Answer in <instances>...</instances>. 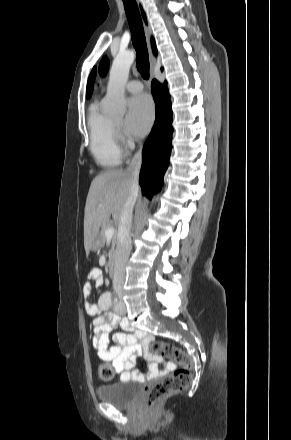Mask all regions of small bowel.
<instances>
[{"instance_id": "small-bowel-1", "label": "small bowel", "mask_w": 291, "mask_h": 440, "mask_svg": "<svg viewBox=\"0 0 291 440\" xmlns=\"http://www.w3.org/2000/svg\"><path fill=\"white\" fill-rule=\"evenodd\" d=\"M92 279L101 284V272L95 270L92 273ZM93 290L91 283H86L83 287L84 307L88 314L94 316L92 328L94 336L92 339L93 347L100 360L109 363L114 372L120 374L122 378L146 382L157 379L172 372L176 368L174 361H163L160 358L152 357L147 349L153 335L144 331H134L133 334L116 333L113 336L114 344L110 345L108 331L117 323H120L127 329V320L109 313V298L104 295L96 305L90 300ZM142 354L147 356L150 361V370L148 374L134 370L136 358ZM159 364H163L162 367Z\"/></svg>"}]
</instances>
